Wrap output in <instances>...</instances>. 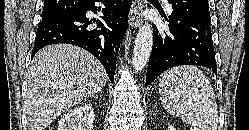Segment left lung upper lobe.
I'll list each match as a JSON object with an SVG mask.
<instances>
[{
	"label": "left lung upper lobe",
	"mask_w": 249,
	"mask_h": 130,
	"mask_svg": "<svg viewBox=\"0 0 249 130\" xmlns=\"http://www.w3.org/2000/svg\"><path fill=\"white\" fill-rule=\"evenodd\" d=\"M173 11L210 23L208 0H169Z\"/></svg>",
	"instance_id": "left-lung-upper-lobe-1"
}]
</instances>
